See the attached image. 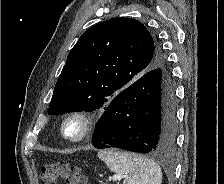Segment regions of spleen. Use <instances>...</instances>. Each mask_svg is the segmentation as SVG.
Here are the masks:
<instances>
[{
  "label": "spleen",
  "instance_id": "1",
  "mask_svg": "<svg viewBox=\"0 0 224 184\" xmlns=\"http://www.w3.org/2000/svg\"><path fill=\"white\" fill-rule=\"evenodd\" d=\"M98 157L112 172L124 175L123 184H161L162 182L160 166L142 155L112 149L99 151Z\"/></svg>",
  "mask_w": 224,
  "mask_h": 184
}]
</instances>
